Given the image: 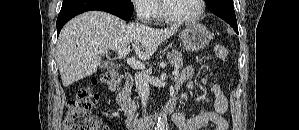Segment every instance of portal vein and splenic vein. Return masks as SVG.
<instances>
[{
  "instance_id": "obj_1",
  "label": "portal vein and splenic vein",
  "mask_w": 299,
  "mask_h": 130,
  "mask_svg": "<svg viewBox=\"0 0 299 130\" xmlns=\"http://www.w3.org/2000/svg\"><path fill=\"white\" fill-rule=\"evenodd\" d=\"M107 51H100L101 54L106 53ZM130 52V46H126L122 49H119L117 51L119 56H125ZM127 64L134 68V69H145V66L138 60L134 59V58H127ZM179 74V70L178 68H176L173 72L172 75L173 76H177Z\"/></svg>"
}]
</instances>
